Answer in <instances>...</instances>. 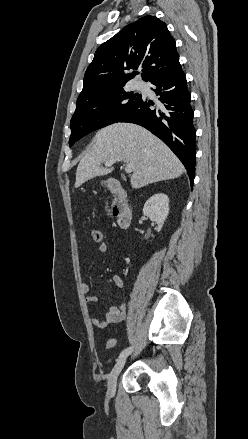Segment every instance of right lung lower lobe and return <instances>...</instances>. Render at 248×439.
<instances>
[{
    "mask_svg": "<svg viewBox=\"0 0 248 439\" xmlns=\"http://www.w3.org/2000/svg\"><path fill=\"white\" fill-rule=\"evenodd\" d=\"M149 82L153 84L159 102L154 104L141 98L119 122L138 124L158 136L183 163L193 186L196 131L186 76L179 65Z\"/></svg>",
    "mask_w": 248,
    "mask_h": 439,
    "instance_id": "right-lung-lower-lobe-1",
    "label": "right lung lower lobe"
}]
</instances>
